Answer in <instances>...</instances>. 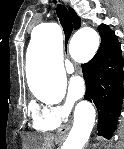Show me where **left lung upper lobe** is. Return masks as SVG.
I'll return each instance as SVG.
<instances>
[{"instance_id":"5c2ea615","label":"left lung upper lobe","mask_w":124,"mask_h":149,"mask_svg":"<svg viewBox=\"0 0 124 149\" xmlns=\"http://www.w3.org/2000/svg\"><path fill=\"white\" fill-rule=\"evenodd\" d=\"M98 30H99L100 34L114 33L112 30H110L107 26H105L103 24L98 27Z\"/></svg>"}]
</instances>
